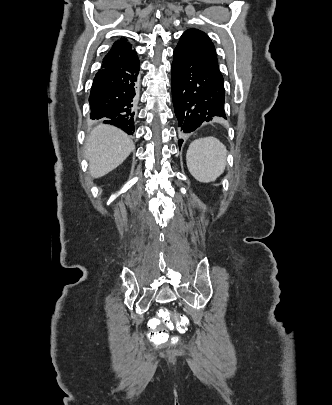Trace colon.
Listing matches in <instances>:
<instances>
[{
	"instance_id": "colon-1",
	"label": "colon",
	"mask_w": 332,
	"mask_h": 405,
	"mask_svg": "<svg viewBox=\"0 0 332 405\" xmlns=\"http://www.w3.org/2000/svg\"><path fill=\"white\" fill-rule=\"evenodd\" d=\"M152 328L150 338L156 344H162L168 339V330L176 327L181 332H185L188 324H192V315H183L178 312L161 310L159 315H151Z\"/></svg>"
}]
</instances>
